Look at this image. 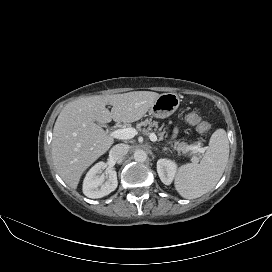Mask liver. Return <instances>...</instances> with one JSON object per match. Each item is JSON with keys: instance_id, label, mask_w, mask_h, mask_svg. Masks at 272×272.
<instances>
[{"instance_id": "6515ba94", "label": "liver", "mask_w": 272, "mask_h": 272, "mask_svg": "<svg viewBox=\"0 0 272 272\" xmlns=\"http://www.w3.org/2000/svg\"><path fill=\"white\" fill-rule=\"evenodd\" d=\"M160 95L150 91L90 96L72 101L62 109L53 129L52 157L65 183L76 189L83 172L114 143L95 123H133L140 120ZM112 106L109 111L105 106Z\"/></svg>"}]
</instances>
